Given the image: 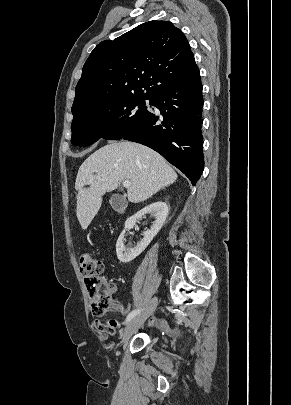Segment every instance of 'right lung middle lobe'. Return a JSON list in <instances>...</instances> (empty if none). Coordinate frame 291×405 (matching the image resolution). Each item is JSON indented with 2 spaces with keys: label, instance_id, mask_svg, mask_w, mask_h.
<instances>
[{
  "label": "right lung middle lobe",
  "instance_id": "dd1d6c3e",
  "mask_svg": "<svg viewBox=\"0 0 291 405\" xmlns=\"http://www.w3.org/2000/svg\"><path fill=\"white\" fill-rule=\"evenodd\" d=\"M143 96H126L88 105L73 114L71 142L89 146L99 139L119 140L138 127L149 114ZM151 104V103H150Z\"/></svg>",
  "mask_w": 291,
  "mask_h": 405
}]
</instances>
